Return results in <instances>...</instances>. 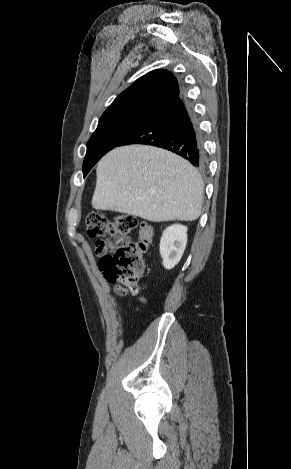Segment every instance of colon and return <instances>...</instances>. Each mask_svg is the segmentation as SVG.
I'll return each mask as SVG.
<instances>
[{"mask_svg":"<svg viewBox=\"0 0 291 469\" xmlns=\"http://www.w3.org/2000/svg\"><path fill=\"white\" fill-rule=\"evenodd\" d=\"M87 234L91 237H107L96 243V253L101 256L99 269L104 277L115 285L119 295L127 290L137 291L144 272L143 255L152 242L154 229L148 222L138 224L136 217L118 214L109 219L99 213L86 218ZM138 227V240L127 238Z\"/></svg>","mask_w":291,"mask_h":469,"instance_id":"obj_1","label":"colon"}]
</instances>
